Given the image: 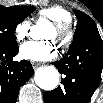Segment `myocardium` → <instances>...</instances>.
I'll return each mask as SVG.
<instances>
[{"instance_id": "1", "label": "myocardium", "mask_w": 103, "mask_h": 103, "mask_svg": "<svg viewBox=\"0 0 103 103\" xmlns=\"http://www.w3.org/2000/svg\"><path fill=\"white\" fill-rule=\"evenodd\" d=\"M52 26L56 29L58 33V39L56 42L59 45V47L61 48L68 47L71 44L74 36V30L71 22L57 21L53 22Z\"/></svg>"}]
</instances>
